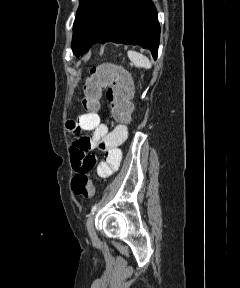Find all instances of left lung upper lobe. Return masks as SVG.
<instances>
[{"label":"left lung upper lobe","mask_w":240,"mask_h":288,"mask_svg":"<svg viewBox=\"0 0 240 288\" xmlns=\"http://www.w3.org/2000/svg\"><path fill=\"white\" fill-rule=\"evenodd\" d=\"M109 0H80L73 25L72 49L78 52L101 19Z\"/></svg>","instance_id":"1"}]
</instances>
